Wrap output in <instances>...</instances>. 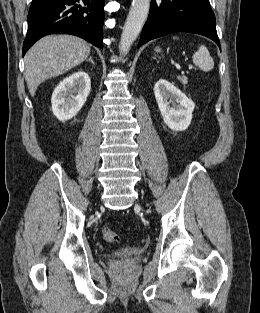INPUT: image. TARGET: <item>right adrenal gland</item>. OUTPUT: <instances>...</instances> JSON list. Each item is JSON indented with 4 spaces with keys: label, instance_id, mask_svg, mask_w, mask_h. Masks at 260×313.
Returning <instances> with one entry per match:
<instances>
[{
    "label": "right adrenal gland",
    "instance_id": "obj_1",
    "mask_svg": "<svg viewBox=\"0 0 260 313\" xmlns=\"http://www.w3.org/2000/svg\"><path fill=\"white\" fill-rule=\"evenodd\" d=\"M87 61H90L92 64H95L94 61H93V59H92V56H90Z\"/></svg>",
    "mask_w": 260,
    "mask_h": 313
}]
</instances>
